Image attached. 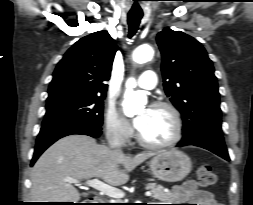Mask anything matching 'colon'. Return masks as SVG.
I'll return each instance as SVG.
<instances>
[{"mask_svg":"<svg viewBox=\"0 0 253 205\" xmlns=\"http://www.w3.org/2000/svg\"><path fill=\"white\" fill-rule=\"evenodd\" d=\"M197 179L198 184L202 188L213 186L217 181V177L212 166L207 162H203L199 165L197 169Z\"/></svg>","mask_w":253,"mask_h":205,"instance_id":"1","label":"colon"}]
</instances>
